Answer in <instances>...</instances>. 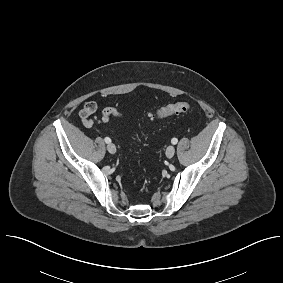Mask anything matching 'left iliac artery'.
<instances>
[{
  "mask_svg": "<svg viewBox=\"0 0 283 283\" xmlns=\"http://www.w3.org/2000/svg\"><path fill=\"white\" fill-rule=\"evenodd\" d=\"M171 142H172V144H177L178 139H177V138H173V139L171 140Z\"/></svg>",
  "mask_w": 283,
  "mask_h": 283,
  "instance_id": "1",
  "label": "left iliac artery"
}]
</instances>
